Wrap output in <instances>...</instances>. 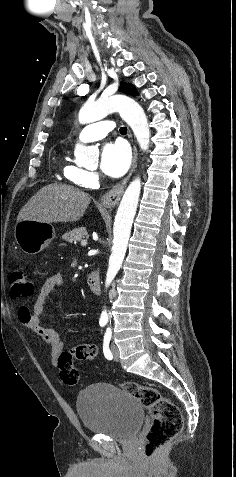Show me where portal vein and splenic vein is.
<instances>
[{
  "instance_id": "1",
  "label": "portal vein and splenic vein",
  "mask_w": 236,
  "mask_h": 477,
  "mask_svg": "<svg viewBox=\"0 0 236 477\" xmlns=\"http://www.w3.org/2000/svg\"><path fill=\"white\" fill-rule=\"evenodd\" d=\"M87 245V240H82L81 241V246H86Z\"/></svg>"
}]
</instances>
